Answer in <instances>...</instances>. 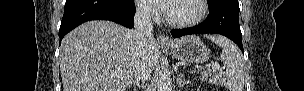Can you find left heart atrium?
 Returning <instances> with one entry per match:
<instances>
[{"instance_id": "1", "label": "left heart atrium", "mask_w": 304, "mask_h": 91, "mask_svg": "<svg viewBox=\"0 0 304 91\" xmlns=\"http://www.w3.org/2000/svg\"><path fill=\"white\" fill-rule=\"evenodd\" d=\"M169 2L170 1H168V0H146V1H144V3L147 6L153 8L155 10L165 12V13H167V11H168Z\"/></svg>"}]
</instances>
